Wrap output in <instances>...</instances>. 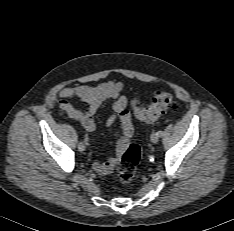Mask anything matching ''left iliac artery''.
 Returning a JSON list of instances; mask_svg holds the SVG:
<instances>
[{"label": "left iliac artery", "mask_w": 234, "mask_h": 231, "mask_svg": "<svg viewBox=\"0 0 234 231\" xmlns=\"http://www.w3.org/2000/svg\"><path fill=\"white\" fill-rule=\"evenodd\" d=\"M157 134H158L159 137H161L163 135V132L162 131H158Z\"/></svg>", "instance_id": "obj_1"}]
</instances>
